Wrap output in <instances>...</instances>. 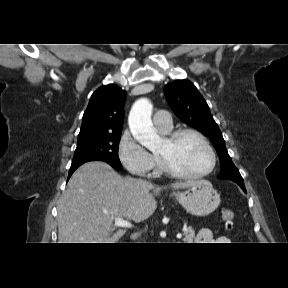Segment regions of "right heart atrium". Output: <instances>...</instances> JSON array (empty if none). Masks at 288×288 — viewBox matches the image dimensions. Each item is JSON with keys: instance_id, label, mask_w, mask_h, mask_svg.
<instances>
[{"instance_id": "1", "label": "right heart atrium", "mask_w": 288, "mask_h": 288, "mask_svg": "<svg viewBox=\"0 0 288 288\" xmlns=\"http://www.w3.org/2000/svg\"><path fill=\"white\" fill-rule=\"evenodd\" d=\"M122 165L133 175L154 177L158 172V159L140 145L129 131L122 134L118 145Z\"/></svg>"}]
</instances>
